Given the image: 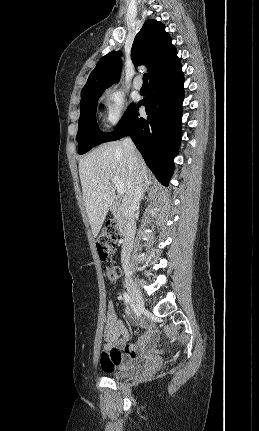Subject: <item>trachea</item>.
Instances as JSON below:
<instances>
[{"mask_svg":"<svg viewBox=\"0 0 259 431\" xmlns=\"http://www.w3.org/2000/svg\"><path fill=\"white\" fill-rule=\"evenodd\" d=\"M148 78H149V75L148 74H144V76H143V83L144 84H148Z\"/></svg>","mask_w":259,"mask_h":431,"instance_id":"obj_1","label":"trachea"}]
</instances>
